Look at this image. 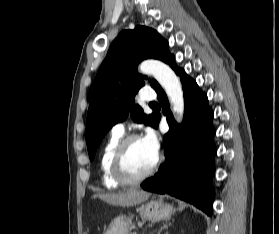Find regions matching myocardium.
<instances>
[{
  "instance_id": "obj_1",
  "label": "myocardium",
  "mask_w": 279,
  "mask_h": 234,
  "mask_svg": "<svg viewBox=\"0 0 279 234\" xmlns=\"http://www.w3.org/2000/svg\"><path fill=\"white\" fill-rule=\"evenodd\" d=\"M142 139L141 136L137 134H131L124 137L117 145L111 162V171L114 179L123 185H134L138 184L148 177H150L158 168L160 164V156L157 157L150 168L143 174L133 176L130 175L125 168V157L130 144L136 140Z\"/></svg>"
}]
</instances>
